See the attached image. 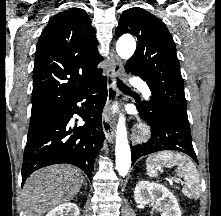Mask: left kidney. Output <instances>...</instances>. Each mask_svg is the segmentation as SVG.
I'll use <instances>...</instances> for the list:
<instances>
[{
    "label": "left kidney",
    "mask_w": 221,
    "mask_h": 216,
    "mask_svg": "<svg viewBox=\"0 0 221 216\" xmlns=\"http://www.w3.org/2000/svg\"><path fill=\"white\" fill-rule=\"evenodd\" d=\"M134 199L144 207L150 201L162 206L161 216H181L176 197L163 185L149 181H139L134 190Z\"/></svg>",
    "instance_id": "obj_1"
}]
</instances>
